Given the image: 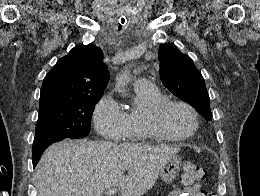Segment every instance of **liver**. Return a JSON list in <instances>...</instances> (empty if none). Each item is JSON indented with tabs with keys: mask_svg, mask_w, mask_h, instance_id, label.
<instances>
[{
	"mask_svg": "<svg viewBox=\"0 0 260 196\" xmlns=\"http://www.w3.org/2000/svg\"><path fill=\"white\" fill-rule=\"evenodd\" d=\"M180 146H138L114 142L63 140L52 144L35 170L38 196H144ZM127 172V174H125Z\"/></svg>",
	"mask_w": 260,
	"mask_h": 196,
	"instance_id": "liver-1",
	"label": "liver"
}]
</instances>
